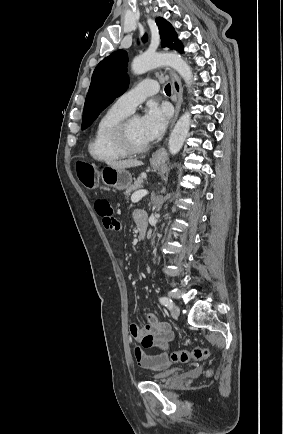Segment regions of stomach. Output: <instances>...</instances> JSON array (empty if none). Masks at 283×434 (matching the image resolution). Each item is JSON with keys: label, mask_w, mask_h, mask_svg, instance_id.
<instances>
[{"label": "stomach", "mask_w": 283, "mask_h": 434, "mask_svg": "<svg viewBox=\"0 0 283 434\" xmlns=\"http://www.w3.org/2000/svg\"><path fill=\"white\" fill-rule=\"evenodd\" d=\"M162 164V160H151V166L154 169H157ZM103 174V183L109 187H113L117 190H125L132 183V176L129 171L125 169H116L110 166L104 168Z\"/></svg>", "instance_id": "obj_1"}]
</instances>
